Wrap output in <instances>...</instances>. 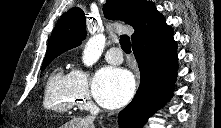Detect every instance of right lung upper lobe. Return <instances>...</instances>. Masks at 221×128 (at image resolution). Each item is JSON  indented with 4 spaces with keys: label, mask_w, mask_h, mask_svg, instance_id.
Listing matches in <instances>:
<instances>
[{
    "label": "right lung upper lobe",
    "mask_w": 221,
    "mask_h": 128,
    "mask_svg": "<svg viewBox=\"0 0 221 128\" xmlns=\"http://www.w3.org/2000/svg\"><path fill=\"white\" fill-rule=\"evenodd\" d=\"M106 18L120 19L131 25L133 45H157L172 35V28L154 3L146 0H107L103 7ZM85 15L82 9L74 7L68 10L57 22L45 54V58L57 57L61 53L82 43L86 37Z\"/></svg>",
    "instance_id": "cb5924a9"
}]
</instances>
